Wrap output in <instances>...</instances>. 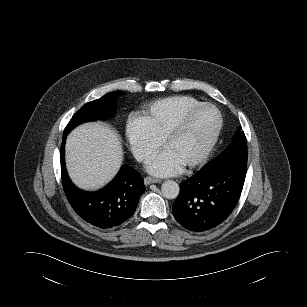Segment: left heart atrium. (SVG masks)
I'll return each instance as SVG.
<instances>
[{
    "mask_svg": "<svg viewBox=\"0 0 307 307\" xmlns=\"http://www.w3.org/2000/svg\"><path fill=\"white\" fill-rule=\"evenodd\" d=\"M182 168L183 164L167 149L156 155L147 166L148 171L156 176H172Z\"/></svg>",
    "mask_w": 307,
    "mask_h": 307,
    "instance_id": "left-heart-atrium-1",
    "label": "left heart atrium"
}]
</instances>
